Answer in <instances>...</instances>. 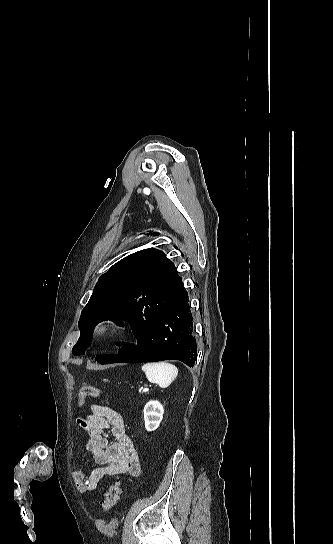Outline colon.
<instances>
[{
    "mask_svg": "<svg viewBox=\"0 0 333 544\" xmlns=\"http://www.w3.org/2000/svg\"><path fill=\"white\" fill-rule=\"evenodd\" d=\"M100 396V392L97 388L84 383L77 393V404L82 406L88 397L97 398ZM122 493V489L119 483L114 482L109 485L105 499L102 502V510L104 513H109L111 509L116 505Z\"/></svg>",
    "mask_w": 333,
    "mask_h": 544,
    "instance_id": "obj_1",
    "label": "colon"
}]
</instances>
